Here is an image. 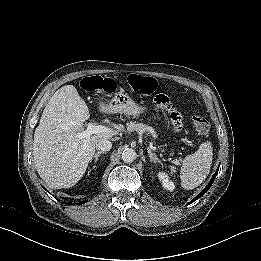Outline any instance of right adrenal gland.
<instances>
[{
  "label": "right adrenal gland",
  "instance_id": "right-adrenal-gland-1",
  "mask_svg": "<svg viewBox=\"0 0 261 261\" xmlns=\"http://www.w3.org/2000/svg\"><path fill=\"white\" fill-rule=\"evenodd\" d=\"M101 154H104V152L103 151H98L97 153H95V155L93 157L95 162L98 160V158L101 156Z\"/></svg>",
  "mask_w": 261,
  "mask_h": 261
}]
</instances>
